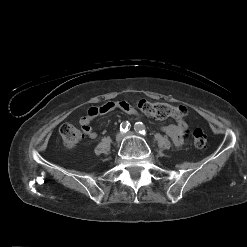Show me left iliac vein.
<instances>
[{
  "mask_svg": "<svg viewBox=\"0 0 247 247\" xmlns=\"http://www.w3.org/2000/svg\"><path fill=\"white\" fill-rule=\"evenodd\" d=\"M134 135V132H132V131H128V132H126L125 134H124V136H128V137H131V136H133Z\"/></svg>",
  "mask_w": 247,
  "mask_h": 247,
  "instance_id": "4c4485c4",
  "label": "left iliac vein"
}]
</instances>
